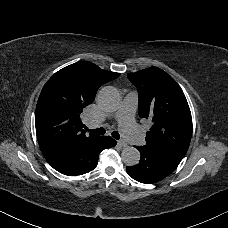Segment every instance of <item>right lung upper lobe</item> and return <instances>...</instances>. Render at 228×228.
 Returning <instances> with one entry per match:
<instances>
[{"label": "right lung upper lobe", "instance_id": "cb5924a9", "mask_svg": "<svg viewBox=\"0 0 228 228\" xmlns=\"http://www.w3.org/2000/svg\"><path fill=\"white\" fill-rule=\"evenodd\" d=\"M119 75L82 61L64 67L46 82L37 102L35 126L47 161L78 144L100 138L86 134L80 114L94 101L98 88Z\"/></svg>", "mask_w": 228, "mask_h": 228}]
</instances>
